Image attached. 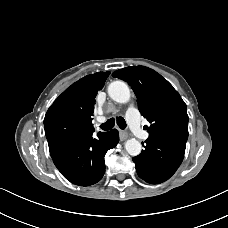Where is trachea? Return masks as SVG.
<instances>
[{
    "mask_svg": "<svg viewBox=\"0 0 228 228\" xmlns=\"http://www.w3.org/2000/svg\"><path fill=\"white\" fill-rule=\"evenodd\" d=\"M116 123L119 126L120 129H125L126 128V122L123 117L119 116L116 118ZM115 125V119L111 118L108 119L105 123L101 124L100 128L104 131H108L112 129Z\"/></svg>",
    "mask_w": 228,
    "mask_h": 228,
    "instance_id": "1",
    "label": "trachea"
}]
</instances>
